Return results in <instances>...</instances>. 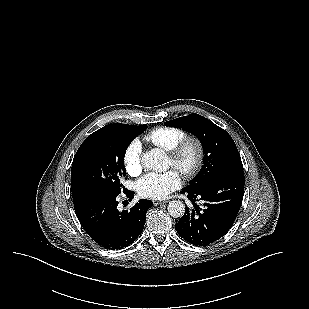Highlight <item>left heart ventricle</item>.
<instances>
[{
	"label": "left heart ventricle",
	"mask_w": 309,
	"mask_h": 309,
	"mask_svg": "<svg viewBox=\"0 0 309 309\" xmlns=\"http://www.w3.org/2000/svg\"><path fill=\"white\" fill-rule=\"evenodd\" d=\"M194 158H195V150L193 148L188 149L184 156V164L185 165L192 164ZM168 164L169 166H172L170 159L168 160Z\"/></svg>",
	"instance_id": "obj_1"
}]
</instances>
